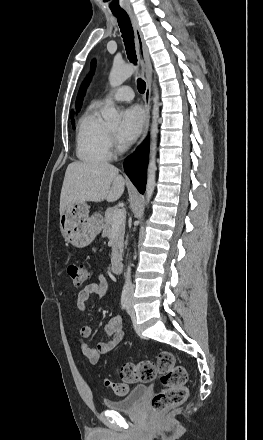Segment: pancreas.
Segmentation results:
<instances>
[{
	"label": "pancreas",
	"mask_w": 263,
	"mask_h": 440,
	"mask_svg": "<svg viewBox=\"0 0 263 440\" xmlns=\"http://www.w3.org/2000/svg\"><path fill=\"white\" fill-rule=\"evenodd\" d=\"M117 210L116 208H108L103 222V236L112 238L113 233L115 234L112 244L111 262L120 258L123 251L125 218L114 227V214Z\"/></svg>",
	"instance_id": "1"
}]
</instances>
